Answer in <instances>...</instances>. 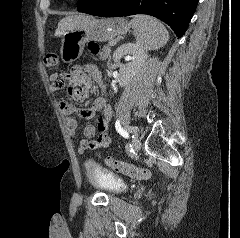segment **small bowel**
<instances>
[{"mask_svg": "<svg viewBox=\"0 0 240 238\" xmlns=\"http://www.w3.org/2000/svg\"><path fill=\"white\" fill-rule=\"evenodd\" d=\"M49 80L50 89L53 92L61 90L68 82V92L77 101L89 99L92 82L99 86L105 94L102 74L91 63L74 66L69 76L59 73L52 74ZM59 108L64 115L66 128L71 137L76 136L78 127L74 115L96 120V124H88L84 128V137L79 141L76 148L78 153H83L89 148H102L111 144L112 140L108 131L112 117V106L105 96L96 98L91 107L87 109H78L74 104L65 100L59 102ZM97 131L100 132V135L93 139Z\"/></svg>", "mask_w": 240, "mask_h": 238, "instance_id": "1", "label": "small bowel"}]
</instances>
